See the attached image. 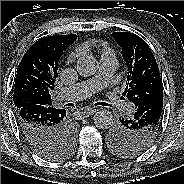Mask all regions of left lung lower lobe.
<instances>
[{
    "label": "left lung lower lobe",
    "instance_id": "0a47b994",
    "mask_svg": "<svg viewBox=\"0 0 184 184\" xmlns=\"http://www.w3.org/2000/svg\"><path fill=\"white\" fill-rule=\"evenodd\" d=\"M163 108V97H159L153 101L143 102L137 107V111L134 114V117L131 120L132 122L144 123V121L154 120L162 114ZM124 121H129L128 119Z\"/></svg>",
    "mask_w": 184,
    "mask_h": 184
}]
</instances>
